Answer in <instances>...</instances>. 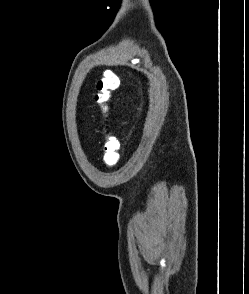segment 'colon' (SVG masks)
Instances as JSON below:
<instances>
[{
	"instance_id": "colon-1",
	"label": "colon",
	"mask_w": 249,
	"mask_h": 294,
	"mask_svg": "<svg viewBox=\"0 0 249 294\" xmlns=\"http://www.w3.org/2000/svg\"><path fill=\"white\" fill-rule=\"evenodd\" d=\"M118 87V81H112L109 78H102L98 82L97 92L95 94V103L100 108L102 116L107 119L111 110V99ZM104 133L108 139L105 146V162L108 166H113L118 160V141L109 132L107 125L104 127Z\"/></svg>"
}]
</instances>
